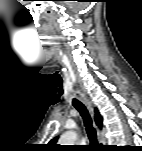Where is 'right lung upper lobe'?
<instances>
[{
  "mask_svg": "<svg viewBox=\"0 0 142 151\" xmlns=\"http://www.w3.org/2000/svg\"><path fill=\"white\" fill-rule=\"evenodd\" d=\"M95 122H96V124H97V126L99 127V128H101L102 127V117H101V115L99 114V112H98V110L97 109H95ZM57 139H58V137H55L54 139H52L50 142H49V145H50V147L51 148H56L57 146H56V142H57Z\"/></svg>",
  "mask_w": 142,
  "mask_h": 151,
  "instance_id": "obj_1",
  "label": "right lung upper lobe"
}]
</instances>
